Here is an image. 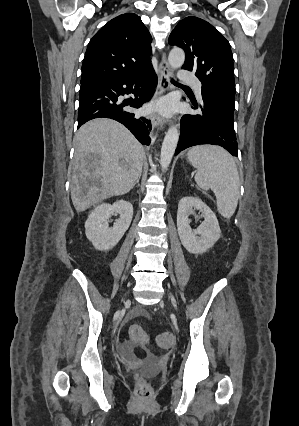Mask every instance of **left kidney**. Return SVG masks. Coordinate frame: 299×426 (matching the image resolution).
I'll use <instances>...</instances> for the list:
<instances>
[{
  "label": "left kidney",
  "mask_w": 299,
  "mask_h": 426,
  "mask_svg": "<svg viewBox=\"0 0 299 426\" xmlns=\"http://www.w3.org/2000/svg\"><path fill=\"white\" fill-rule=\"evenodd\" d=\"M197 209L204 221L192 230L189 215ZM177 229L182 245L193 254H202L213 247L221 235L219 223L214 212L198 197L187 196L178 204Z\"/></svg>",
  "instance_id": "left-kidney-1"
}]
</instances>
